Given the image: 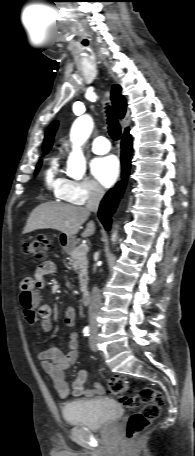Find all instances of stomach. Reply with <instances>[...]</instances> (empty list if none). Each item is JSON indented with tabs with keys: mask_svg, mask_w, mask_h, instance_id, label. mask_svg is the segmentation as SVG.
Here are the masks:
<instances>
[{
	"mask_svg": "<svg viewBox=\"0 0 195 456\" xmlns=\"http://www.w3.org/2000/svg\"><path fill=\"white\" fill-rule=\"evenodd\" d=\"M60 245L66 251H70L75 247V237L74 236H67L66 234L62 233L59 237Z\"/></svg>",
	"mask_w": 195,
	"mask_h": 456,
	"instance_id": "obj_1",
	"label": "stomach"
}]
</instances>
